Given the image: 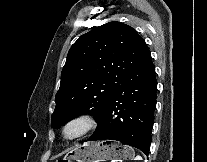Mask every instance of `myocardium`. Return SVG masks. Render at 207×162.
<instances>
[{
	"label": "myocardium",
	"instance_id": "obj_1",
	"mask_svg": "<svg viewBox=\"0 0 207 162\" xmlns=\"http://www.w3.org/2000/svg\"><path fill=\"white\" fill-rule=\"evenodd\" d=\"M97 126V119L93 114L82 113L68 120L62 130L66 140H76L90 133Z\"/></svg>",
	"mask_w": 207,
	"mask_h": 162
}]
</instances>
